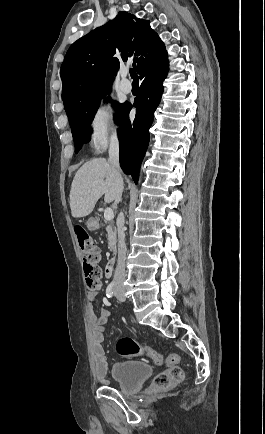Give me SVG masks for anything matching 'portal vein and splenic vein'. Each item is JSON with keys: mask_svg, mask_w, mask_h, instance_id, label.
Returning a JSON list of instances; mask_svg holds the SVG:
<instances>
[{"mask_svg": "<svg viewBox=\"0 0 265 434\" xmlns=\"http://www.w3.org/2000/svg\"><path fill=\"white\" fill-rule=\"evenodd\" d=\"M104 218L105 220H113L114 212L111 208H106V210H104Z\"/></svg>", "mask_w": 265, "mask_h": 434, "instance_id": "portal-vein-and-splenic-vein-1", "label": "portal vein and splenic vein"}]
</instances>
